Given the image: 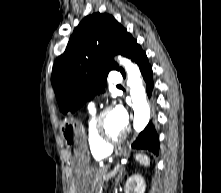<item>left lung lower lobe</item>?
Here are the masks:
<instances>
[{"label":"left lung lower lobe","mask_w":221,"mask_h":193,"mask_svg":"<svg viewBox=\"0 0 221 193\" xmlns=\"http://www.w3.org/2000/svg\"><path fill=\"white\" fill-rule=\"evenodd\" d=\"M128 58L132 59L138 64L144 81L146 82V90L148 96L151 95L153 89L152 68L148 62L145 52L140 45L136 43L131 49ZM123 77H125L124 70L121 71ZM133 149H144L153 152L158 155L159 153V141L155 128L150 122L146 128L139 134L137 139L132 144Z\"/></svg>","instance_id":"left-lung-lower-lobe-1"}]
</instances>
